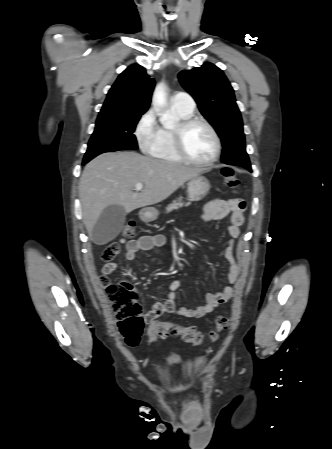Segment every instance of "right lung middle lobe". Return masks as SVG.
<instances>
[{"label":"right lung middle lobe","instance_id":"right-lung-middle-lobe-1","mask_svg":"<svg viewBox=\"0 0 332 449\" xmlns=\"http://www.w3.org/2000/svg\"><path fill=\"white\" fill-rule=\"evenodd\" d=\"M142 114H113L98 116L83 161L99 154L138 148L133 134Z\"/></svg>","mask_w":332,"mask_h":449}]
</instances>
